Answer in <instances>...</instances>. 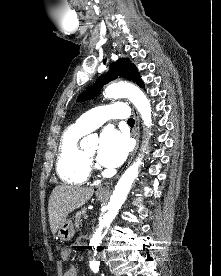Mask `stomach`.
<instances>
[{"label": "stomach", "instance_id": "1", "mask_svg": "<svg viewBox=\"0 0 221 276\" xmlns=\"http://www.w3.org/2000/svg\"><path fill=\"white\" fill-rule=\"evenodd\" d=\"M106 197V195L97 193V199L99 201H104ZM74 233V227L70 219H66L58 229V237L61 241H70L73 238Z\"/></svg>", "mask_w": 221, "mask_h": 276}]
</instances>
